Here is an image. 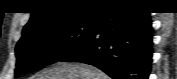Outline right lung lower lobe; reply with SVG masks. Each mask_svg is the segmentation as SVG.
I'll list each match as a JSON object with an SVG mask.
<instances>
[{
	"instance_id": "obj_1",
	"label": "right lung lower lobe",
	"mask_w": 177,
	"mask_h": 79,
	"mask_svg": "<svg viewBox=\"0 0 177 79\" xmlns=\"http://www.w3.org/2000/svg\"><path fill=\"white\" fill-rule=\"evenodd\" d=\"M149 12L113 6L94 21L89 37L60 61L94 65L113 79H148L152 58Z\"/></svg>"
}]
</instances>
